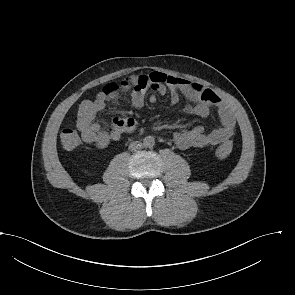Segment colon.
<instances>
[{"label": "colon", "mask_w": 295, "mask_h": 295, "mask_svg": "<svg viewBox=\"0 0 295 295\" xmlns=\"http://www.w3.org/2000/svg\"><path fill=\"white\" fill-rule=\"evenodd\" d=\"M117 89L114 84L108 85L104 88V91L111 92ZM60 139L62 145L67 150L75 149L81 142L80 135L78 131L72 127H66L61 131ZM233 149V143L231 139H227L220 144L217 148V155L219 157H227L231 154Z\"/></svg>", "instance_id": "colon-1"}]
</instances>
